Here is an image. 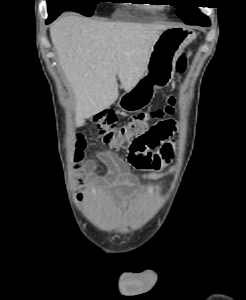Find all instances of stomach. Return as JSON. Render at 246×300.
<instances>
[{
  "label": "stomach",
  "mask_w": 246,
  "mask_h": 300,
  "mask_svg": "<svg viewBox=\"0 0 246 300\" xmlns=\"http://www.w3.org/2000/svg\"><path fill=\"white\" fill-rule=\"evenodd\" d=\"M195 39V33L182 27L164 30L155 41L145 74L118 101L123 111L138 112L152 100L158 87L167 85L174 73V65L184 48Z\"/></svg>",
  "instance_id": "stomach-1"
}]
</instances>
